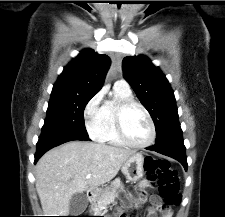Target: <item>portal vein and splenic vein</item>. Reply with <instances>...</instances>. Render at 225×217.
Returning a JSON list of instances; mask_svg holds the SVG:
<instances>
[{
    "label": "portal vein and splenic vein",
    "instance_id": "obj_1",
    "mask_svg": "<svg viewBox=\"0 0 225 217\" xmlns=\"http://www.w3.org/2000/svg\"><path fill=\"white\" fill-rule=\"evenodd\" d=\"M90 177H91V174H88V175L86 176L87 179H89Z\"/></svg>",
    "mask_w": 225,
    "mask_h": 217
}]
</instances>
